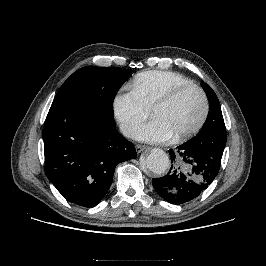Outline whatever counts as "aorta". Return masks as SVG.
<instances>
[{"label": "aorta", "mask_w": 266, "mask_h": 266, "mask_svg": "<svg viewBox=\"0 0 266 266\" xmlns=\"http://www.w3.org/2000/svg\"><path fill=\"white\" fill-rule=\"evenodd\" d=\"M146 167L155 174H163L169 167L168 155L161 149L154 148L145 159Z\"/></svg>", "instance_id": "aorta-1"}]
</instances>
